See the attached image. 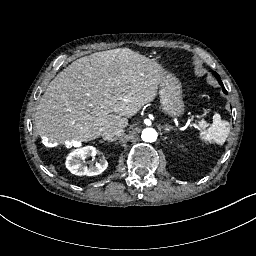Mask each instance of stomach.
<instances>
[{
  "label": "stomach",
  "mask_w": 256,
  "mask_h": 256,
  "mask_svg": "<svg viewBox=\"0 0 256 256\" xmlns=\"http://www.w3.org/2000/svg\"><path fill=\"white\" fill-rule=\"evenodd\" d=\"M160 111L169 118L182 117L185 105L178 80L172 75H165L159 88Z\"/></svg>",
  "instance_id": "0dacf381"
}]
</instances>
